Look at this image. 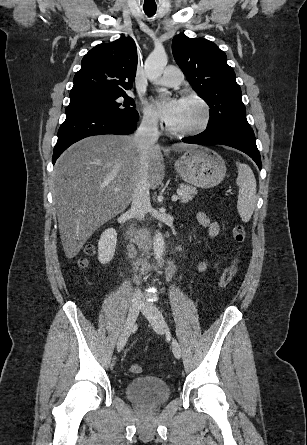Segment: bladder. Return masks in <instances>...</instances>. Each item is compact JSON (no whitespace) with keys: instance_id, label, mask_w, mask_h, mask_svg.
Instances as JSON below:
<instances>
[{"instance_id":"obj_1","label":"bladder","mask_w":307,"mask_h":445,"mask_svg":"<svg viewBox=\"0 0 307 445\" xmlns=\"http://www.w3.org/2000/svg\"><path fill=\"white\" fill-rule=\"evenodd\" d=\"M125 395L133 403L154 408L165 403L170 396L168 384L156 376L138 377L125 386Z\"/></svg>"}]
</instances>
